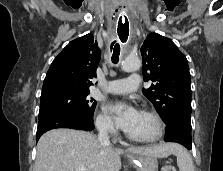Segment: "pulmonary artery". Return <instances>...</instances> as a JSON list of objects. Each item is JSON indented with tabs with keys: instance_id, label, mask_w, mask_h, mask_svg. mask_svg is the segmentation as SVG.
<instances>
[{
	"instance_id": "obj_1",
	"label": "pulmonary artery",
	"mask_w": 223,
	"mask_h": 171,
	"mask_svg": "<svg viewBox=\"0 0 223 171\" xmlns=\"http://www.w3.org/2000/svg\"><path fill=\"white\" fill-rule=\"evenodd\" d=\"M141 83L138 74H132L126 79L109 81L105 90L111 94H128L136 91Z\"/></svg>"
}]
</instances>
